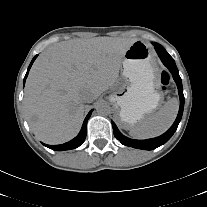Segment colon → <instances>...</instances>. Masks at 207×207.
I'll return each mask as SVG.
<instances>
[{"instance_id": "obj_1", "label": "colon", "mask_w": 207, "mask_h": 207, "mask_svg": "<svg viewBox=\"0 0 207 207\" xmlns=\"http://www.w3.org/2000/svg\"><path fill=\"white\" fill-rule=\"evenodd\" d=\"M170 82V78L167 72H162L160 76V86L163 90H165Z\"/></svg>"}]
</instances>
